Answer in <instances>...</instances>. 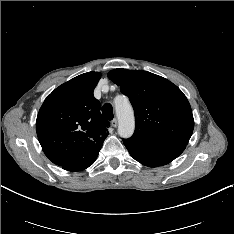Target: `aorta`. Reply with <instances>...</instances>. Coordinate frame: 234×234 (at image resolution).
<instances>
[{"mask_svg": "<svg viewBox=\"0 0 234 234\" xmlns=\"http://www.w3.org/2000/svg\"><path fill=\"white\" fill-rule=\"evenodd\" d=\"M116 114L119 121L118 134L122 138H129L133 135L135 129L134 112L127 99L116 103Z\"/></svg>", "mask_w": 234, "mask_h": 234, "instance_id": "obj_1", "label": "aorta"}]
</instances>
